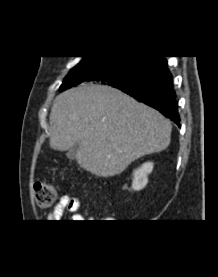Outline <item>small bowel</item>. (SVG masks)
<instances>
[{"label": "small bowel", "mask_w": 218, "mask_h": 277, "mask_svg": "<svg viewBox=\"0 0 218 277\" xmlns=\"http://www.w3.org/2000/svg\"><path fill=\"white\" fill-rule=\"evenodd\" d=\"M79 206V198L68 194H63L60 196L54 208L47 214V220L48 222H58L67 212L72 214V218L74 220H78L76 222H81L80 220L84 219L83 216L80 214H76Z\"/></svg>", "instance_id": "obj_1"}]
</instances>
